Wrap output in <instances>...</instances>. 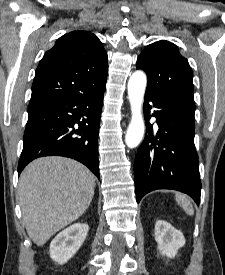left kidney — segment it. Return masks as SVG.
Masks as SVG:
<instances>
[{
  "mask_svg": "<svg viewBox=\"0 0 225 275\" xmlns=\"http://www.w3.org/2000/svg\"><path fill=\"white\" fill-rule=\"evenodd\" d=\"M155 240L161 255L174 258L178 250L185 245L183 234L166 221L155 223Z\"/></svg>",
  "mask_w": 225,
  "mask_h": 275,
  "instance_id": "left-kidney-1",
  "label": "left kidney"
}]
</instances>
